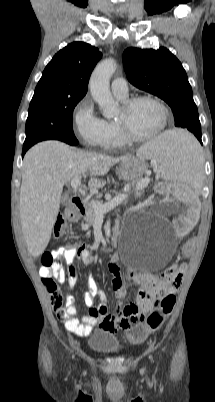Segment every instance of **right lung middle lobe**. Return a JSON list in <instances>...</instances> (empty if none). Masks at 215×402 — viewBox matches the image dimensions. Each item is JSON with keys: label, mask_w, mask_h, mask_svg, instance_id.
<instances>
[{"label": "right lung middle lobe", "mask_w": 215, "mask_h": 402, "mask_svg": "<svg viewBox=\"0 0 215 402\" xmlns=\"http://www.w3.org/2000/svg\"><path fill=\"white\" fill-rule=\"evenodd\" d=\"M80 100L47 94L33 96L26 121L24 146L50 139L70 145L79 143L72 129V114Z\"/></svg>", "instance_id": "dd1d6c3e"}]
</instances>
